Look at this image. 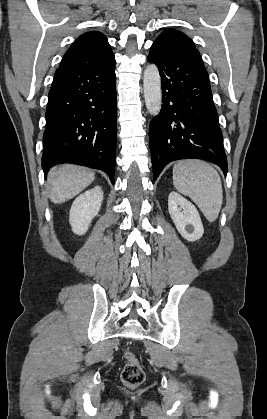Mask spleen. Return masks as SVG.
<instances>
[{
  "instance_id": "3e777b00",
  "label": "spleen",
  "mask_w": 267,
  "mask_h": 419,
  "mask_svg": "<svg viewBox=\"0 0 267 419\" xmlns=\"http://www.w3.org/2000/svg\"><path fill=\"white\" fill-rule=\"evenodd\" d=\"M173 183L181 194L197 204L205 218L214 222L219 215L223 190L218 172L201 160H182L173 167Z\"/></svg>"
}]
</instances>
